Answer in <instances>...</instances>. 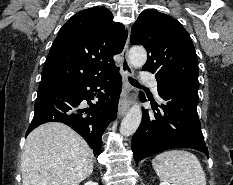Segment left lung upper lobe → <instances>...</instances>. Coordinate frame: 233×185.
I'll return each mask as SVG.
<instances>
[{
  "instance_id": "1",
  "label": "left lung upper lobe",
  "mask_w": 233,
  "mask_h": 185,
  "mask_svg": "<svg viewBox=\"0 0 233 185\" xmlns=\"http://www.w3.org/2000/svg\"><path fill=\"white\" fill-rule=\"evenodd\" d=\"M131 44L148 53L143 69L155 74L158 83L198 82V60L192 40L174 18L155 10L142 12L131 31Z\"/></svg>"
}]
</instances>
